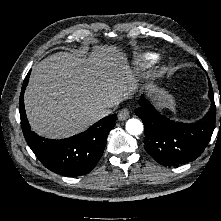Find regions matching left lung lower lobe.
<instances>
[{"mask_svg": "<svg viewBox=\"0 0 221 221\" xmlns=\"http://www.w3.org/2000/svg\"><path fill=\"white\" fill-rule=\"evenodd\" d=\"M209 97L213 102L203 120L183 124L167 119L142 96L136 110L145 127L144 147L160 164L173 166L196 159L205 149L215 127L216 108L211 84Z\"/></svg>", "mask_w": 221, "mask_h": 221, "instance_id": "1", "label": "left lung lower lobe"}]
</instances>
